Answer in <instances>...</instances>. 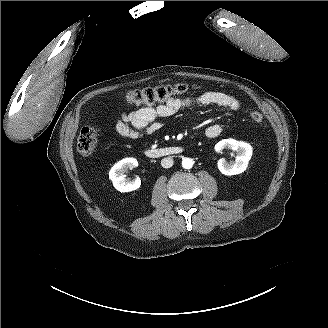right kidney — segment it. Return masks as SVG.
<instances>
[{
	"label": "right kidney",
	"instance_id": "1",
	"mask_svg": "<svg viewBox=\"0 0 328 328\" xmlns=\"http://www.w3.org/2000/svg\"><path fill=\"white\" fill-rule=\"evenodd\" d=\"M138 166L135 158H125L114 164L109 172V179L113 182L114 187L120 192H130L136 190L141 185V180L137 177L134 181H128L124 173L128 169Z\"/></svg>",
	"mask_w": 328,
	"mask_h": 328
}]
</instances>
